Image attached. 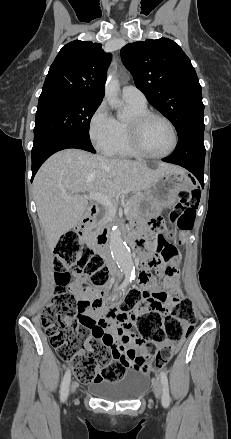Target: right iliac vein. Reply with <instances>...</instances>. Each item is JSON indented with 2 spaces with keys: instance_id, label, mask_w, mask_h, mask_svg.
<instances>
[{
  "instance_id": "right-iliac-vein-1",
  "label": "right iliac vein",
  "mask_w": 231,
  "mask_h": 439,
  "mask_svg": "<svg viewBox=\"0 0 231 439\" xmlns=\"http://www.w3.org/2000/svg\"><path fill=\"white\" fill-rule=\"evenodd\" d=\"M75 390H76V385H75V384H72V386H71V392L73 393V392H75Z\"/></svg>"
}]
</instances>
